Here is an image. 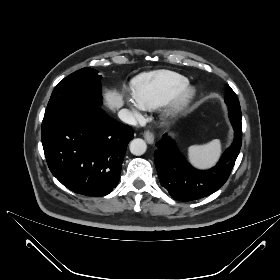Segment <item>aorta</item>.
<instances>
[{"label": "aorta", "mask_w": 280, "mask_h": 280, "mask_svg": "<svg viewBox=\"0 0 280 280\" xmlns=\"http://www.w3.org/2000/svg\"><path fill=\"white\" fill-rule=\"evenodd\" d=\"M129 148L133 155L140 156L146 152L147 145L143 139L136 138L131 141Z\"/></svg>", "instance_id": "aorta-1"}]
</instances>
